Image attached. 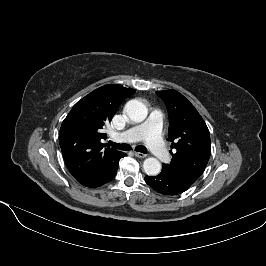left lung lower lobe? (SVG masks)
<instances>
[{
  "instance_id": "left-lung-lower-lobe-1",
  "label": "left lung lower lobe",
  "mask_w": 266,
  "mask_h": 266,
  "mask_svg": "<svg viewBox=\"0 0 266 266\" xmlns=\"http://www.w3.org/2000/svg\"><path fill=\"white\" fill-rule=\"evenodd\" d=\"M146 183L163 195H178L189 187L169 176L164 170L154 177L145 176Z\"/></svg>"
}]
</instances>
